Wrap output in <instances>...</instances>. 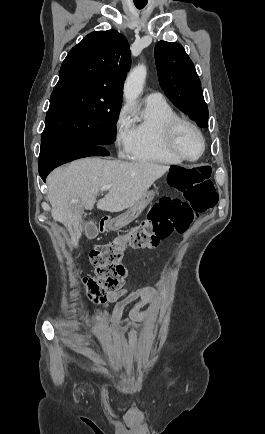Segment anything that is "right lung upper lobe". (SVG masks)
Here are the masks:
<instances>
[{
    "instance_id": "obj_1",
    "label": "right lung upper lobe",
    "mask_w": 265,
    "mask_h": 434,
    "mask_svg": "<svg viewBox=\"0 0 265 434\" xmlns=\"http://www.w3.org/2000/svg\"><path fill=\"white\" fill-rule=\"evenodd\" d=\"M130 54L129 44L119 32H92L70 50L61 65L58 83L86 81L122 94Z\"/></svg>"
}]
</instances>
